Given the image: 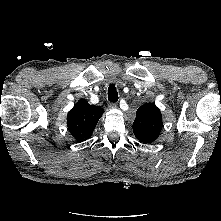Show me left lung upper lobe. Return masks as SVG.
<instances>
[{
	"mask_svg": "<svg viewBox=\"0 0 221 221\" xmlns=\"http://www.w3.org/2000/svg\"><path fill=\"white\" fill-rule=\"evenodd\" d=\"M162 126V115L155 104L147 103L138 108L133 123V132L140 142L147 144L155 141Z\"/></svg>",
	"mask_w": 221,
	"mask_h": 221,
	"instance_id": "5c2ea615",
	"label": "left lung upper lobe"
}]
</instances>
